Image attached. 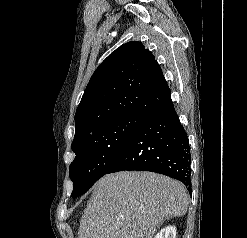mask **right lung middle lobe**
Wrapping results in <instances>:
<instances>
[{"label": "right lung middle lobe", "mask_w": 247, "mask_h": 238, "mask_svg": "<svg viewBox=\"0 0 247 238\" xmlns=\"http://www.w3.org/2000/svg\"><path fill=\"white\" fill-rule=\"evenodd\" d=\"M143 119L140 116L120 117L74 139L72 149L76 156L69 170L74 183L72 197L86 193L106 174Z\"/></svg>", "instance_id": "right-lung-middle-lobe-1"}]
</instances>
